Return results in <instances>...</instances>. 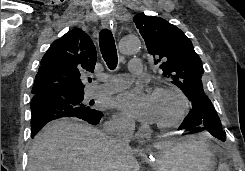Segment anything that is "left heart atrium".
<instances>
[{
	"label": "left heart atrium",
	"mask_w": 245,
	"mask_h": 171,
	"mask_svg": "<svg viewBox=\"0 0 245 171\" xmlns=\"http://www.w3.org/2000/svg\"><path fill=\"white\" fill-rule=\"evenodd\" d=\"M113 105L131 119L147 123L156 121L153 95L141 88L119 94L114 98Z\"/></svg>",
	"instance_id": "1"
}]
</instances>
